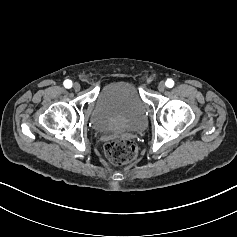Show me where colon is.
Here are the masks:
<instances>
[{
	"mask_svg": "<svg viewBox=\"0 0 237 237\" xmlns=\"http://www.w3.org/2000/svg\"><path fill=\"white\" fill-rule=\"evenodd\" d=\"M105 153L114 164L122 165L134 161L138 154L135 142L129 138H118L105 144Z\"/></svg>",
	"mask_w": 237,
	"mask_h": 237,
	"instance_id": "obj_1",
	"label": "colon"
}]
</instances>
